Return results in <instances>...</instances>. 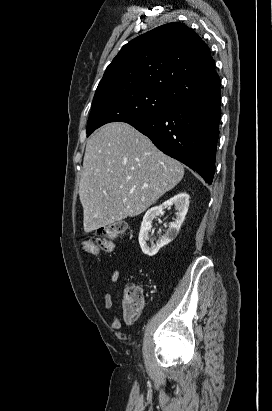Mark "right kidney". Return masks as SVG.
I'll list each match as a JSON object with an SVG mask.
<instances>
[{
  "label": "right kidney",
  "instance_id": "obj_1",
  "mask_svg": "<svg viewBox=\"0 0 272 411\" xmlns=\"http://www.w3.org/2000/svg\"><path fill=\"white\" fill-rule=\"evenodd\" d=\"M175 206L177 210L176 219L169 224L166 233L156 242V244L148 245L150 239L149 232L151 224L159 214L166 208ZM189 207V195L185 192H180L169 200L163 202L160 206H155L149 209L143 217L139 233V244L144 254L154 256L160 248L170 243L177 236L179 229L185 219Z\"/></svg>",
  "mask_w": 272,
  "mask_h": 411
}]
</instances>
